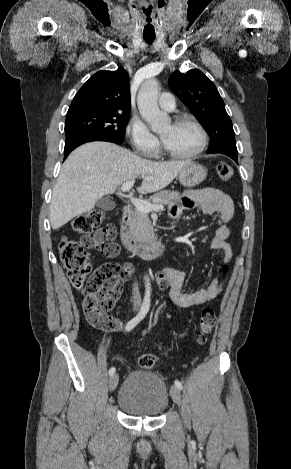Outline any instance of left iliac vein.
Wrapping results in <instances>:
<instances>
[{
  "instance_id": "obj_1",
  "label": "left iliac vein",
  "mask_w": 291,
  "mask_h": 469,
  "mask_svg": "<svg viewBox=\"0 0 291 469\" xmlns=\"http://www.w3.org/2000/svg\"><path fill=\"white\" fill-rule=\"evenodd\" d=\"M171 397L173 401L181 407V393L180 390L176 386H171L170 389Z\"/></svg>"
}]
</instances>
